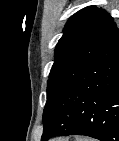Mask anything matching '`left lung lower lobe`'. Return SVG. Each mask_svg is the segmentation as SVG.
Listing matches in <instances>:
<instances>
[{
  "instance_id": "0a47b994",
  "label": "left lung lower lobe",
  "mask_w": 119,
  "mask_h": 141,
  "mask_svg": "<svg viewBox=\"0 0 119 141\" xmlns=\"http://www.w3.org/2000/svg\"><path fill=\"white\" fill-rule=\"evenodd\" d=\"M41 140L86 135L119 141V30L113 23L97 55L45 105Z\"/></svg>"
}]
</instances>
